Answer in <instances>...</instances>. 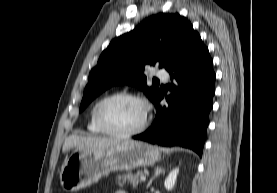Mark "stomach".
<instances>
[{
  "label": "stomach",
  "mask_w": 277,
  "mask_h": 193,
  "mask_svg": "<svg viewBox=\"0 0 277 193\" xmlns=\"http://www.w3.org/2000/svg\"><path fill=\"white\" fill-rule=\"evenodd\" d=\"M160 156L156 146L133 140H123L105 149L76 148L62 165L60 182L65 191L75 192L112 171L153 165Z\"/></svg>",
  "instance_id": "0dacf381"
}]
</instances>
